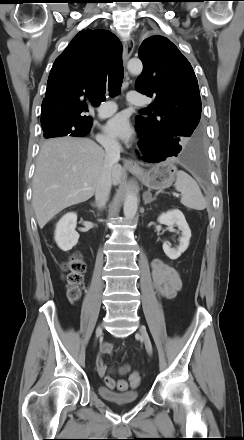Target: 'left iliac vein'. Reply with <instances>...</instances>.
<instances>
[{"mask_svg":"<svg viewBox=\"0 0 244 440\" xmlns=\"http://www.w3.org/2000/svg\"><path fill=\"white\" fill-rule=\"evenodd\" d=\"M139 334H140V336H141V339H142L143 342H144V345H145L146 351L148 352L149 355H151V354H152V344H151V341H150L149 335H148V333H147L145 327H143V326L140 327V329H139Z\"/></svg>","mask_w":244,"mask_h":440,"instance_id":"obj_1","label":"left iliac vein"}]
</instances>
